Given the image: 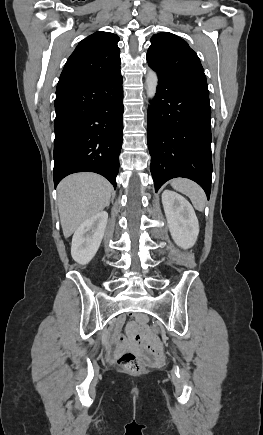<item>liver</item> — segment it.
I'll return each mask as SVG.
<instances>
[{
  "instance_id": "liver-1",
  "label": "liver",
  "mask_w": 263,
  "mask_h": 435,
  "mask_svg": "<svg viewBox=\"0 0 263 435\" xmlns=\"http://www.w3.org/2000/svg\"><path fill=\"white\" fill-rule=\"evenodd\" d=\"M57 191L63 234L69 237L84 221L109 205L112 186L102 176L84 172L64 178Z\"/></svg>"
}]
</instances>
